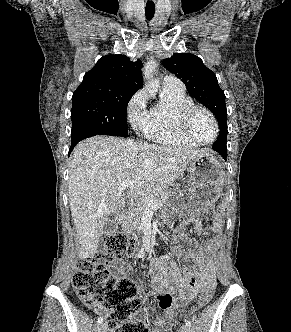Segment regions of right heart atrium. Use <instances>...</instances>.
Wrapping results in <instances>:
<instances>
[{
	"label": "right heart atrium",
	"instance_id": "right-heart-atrium-1",
	"mask_svg": "<svg viewBox=\"0 0 291 332\" xmlns=\"http://www.w3.org/2000/svg\"><path fill=\"white\" fill-rule=\"evenodd\" d=\"M147 95L144 91L137 92L128 104V119L130 123L141 128L147 120Z\"/></svg>",
	"mask_w": 291,
	"mask_h": 332
}]
</instances>
